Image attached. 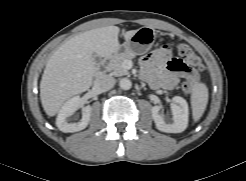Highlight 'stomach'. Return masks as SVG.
Masks as SVG:
<instances>
[{
    "label": "stomach",
    "mask_w": 246,
    "mask_h": 181,
    "mask_svg": "<svg viewBox=\"0 0 246 181\" xmlns=\"http://www.w3.org/2000/svg\"><path fill=\"white\" fill-rule=\"evenodd\" d=\"M155 39L156 33L153 29L149 27H142L138 29L129 40H126L122 45H120V48L115 55L124 52H130L134 55L144 54L150 50Z\"/></svg>",
    "instance_id": "1"
}]
</instances>
